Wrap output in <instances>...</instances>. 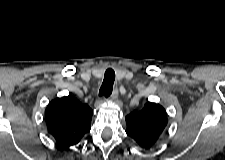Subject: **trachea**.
<instances>
[{"label":"trachea","instance_id":"3493384b","mask_svg":"<svg viewBox=\"0 0 225 160\" xmlns=\"http://www.w3.org/2000/svg\"><path fill=\"white\" fill-rule=\"evenodd\" d=\"M115 80V72L113 69H107L105 72L104 80L99 90V96H105L106 98L112 94L113 84Z\"/></svg>","mask_w":225,"mask_h":160}]
</instances>
